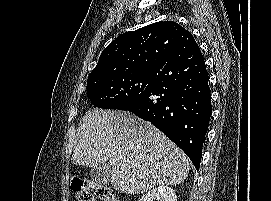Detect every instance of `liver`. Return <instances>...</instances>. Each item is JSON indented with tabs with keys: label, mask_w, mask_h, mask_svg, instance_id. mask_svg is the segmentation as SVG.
<instances>
[{
	"label": "liver",
	"mask_w": 271,
	"mask_h": 201,
	"mask_svg": "<svg viewBox=\"0 0 271 201\" xmlns=\"http://www.w3.org/2000/svg\"><path fill=\"white\" fill-rule=\"evenodd\" d=\"M71 161L91 168L109 161L111 185L126 194L181 184L190 164L185 153L149 122L129 112L103 109L84 115Z\"/></svg>",
	"instance_id": "obj_1"
}]
</instances>
